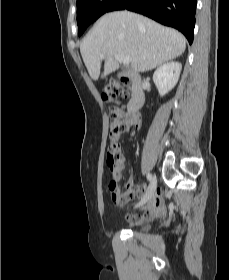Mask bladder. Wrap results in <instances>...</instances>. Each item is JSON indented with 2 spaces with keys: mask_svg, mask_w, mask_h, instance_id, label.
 Instances as JSON below:
<instances>
[{
  "mask_svg": "<svg viewBox=\"0 0 229 280\" xmlns=\"http://www.w3.org/2000/svg\"><path fill=\"white\" fill-rule=\"evenodd\" d=\"M137 226H139L141 230L146 231L149 229L150 223H149V221L146 220V221L140 222L139 224H137Z\"/></svg>",
  "mask_w": 229,
  "mask_h": 280,
  "instance_id": "1",
  "label": "bladder"
}]
</instances>
